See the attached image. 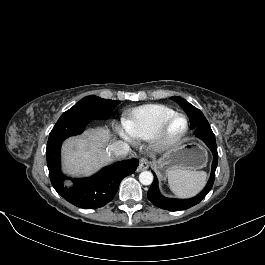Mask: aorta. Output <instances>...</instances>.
Instances as JSON below:
<instances>
[{"mask_svg": "<svg viewBox=\"0 0 265 265\" xmlns=\"http://www.w3.org/2000/svg\"><path fill=\"white\" fill-rule=\"evenodd\" d=\"M153 174L150 171H143L139 175V181L143 185H150L153 182Z\"/></svg>", "mask_w": 265, "mask_h": 265, "instance_id": "obj_1", "label": "aorta"}]
</instances>
